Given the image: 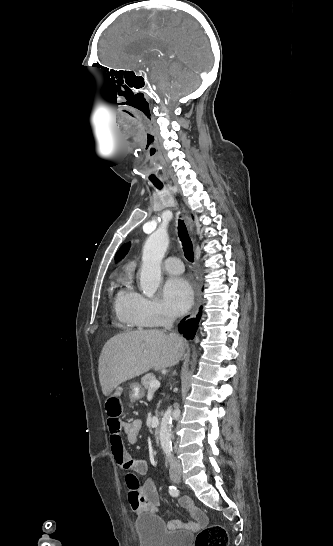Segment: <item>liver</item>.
Segmentation results:
<instances>
[{
  "instance_id": "obj_1",
  "label": "liver",
  "mask_w": 333,
  "mask_h": 546,
  "mask_svg": "<svg viewBox=\"0 0 333 546\" xmlns=\"http://www.w3.org/2000/svg\"><path fill=\"white\" fill-rule=\"evenodd\" d=\"M184 352L178 335L159 330L117 335L104 345L99 357V380L105 396L121 383L151 369L159 371L178 364Z\"/></svg>"
}]
</instances>
